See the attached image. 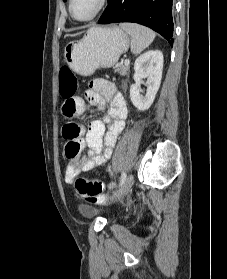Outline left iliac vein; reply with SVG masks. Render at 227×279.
Masks as SVG:
<instances>
[{
  "label": "left iliac vein",
  "instance_id": "left-iliac-vein-1",
  "mask_svg": "<svg viewBox=\"0 0 227 279\" xmlns=\"http://www.w3.org/2000/svg\"><path fill=\"white\" fill-rule=\"evenodd\" d=\"M134 183V176L132 174H130L126 181L124 182V184L119 188L118 191H116L111 197H110V201H116L118 200L120 197L124 196L127 192L130 191V189L132 188V185Z\"/></svg>",
  "mask_w": 227,
  "mask_h": 279
}]
</instances>
